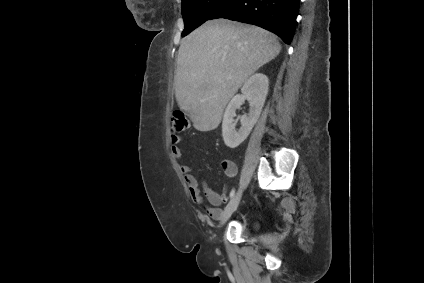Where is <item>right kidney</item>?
I'll return each mask as SVG.
<instances>
[{
	"label": "right kidney",
	"instance_id": "ca27d5eb",
	"mask_svg": "<svg viewBox=\"0 0 424 283\" xmlns=\"http://www.w3.org/2000/svg\"><path fill=\"white\" fill-rule=\"evenodd\" d=\"M268 86V77L263 73H256L244 83L241 94L236 95L229 102L222 121V136L227 147L236 148L246 140L260 117L268 94ZM245 100H248L250 110L248 115L240 118L241 128L238 132H235L234 117L236 110Z\"/></svg>",
	"mask_w": 424,
	"mask_h": 283
}]
</instances>
